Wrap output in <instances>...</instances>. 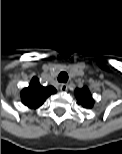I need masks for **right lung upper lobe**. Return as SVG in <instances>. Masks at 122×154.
I'll use <instances>...</instances> for the list:
<instances>
[{"label":"right lung upper lobe","mask_w":122,"mask_h":154,"mask_svg":"<svg viewBox=\"0 0 122 154\" xmlns=\"http://www.w3.org/2000/svg\"><path fill=\"white\" fill-rule=\"evenodd\" d=\"M56 93V89L52 86L43 87L38 78L33 77L29 86L24 88L21 92L22 102L31 109L40 107L45 99Z\"/></svg>","instance_id":"obj_1"}]
</instances>
